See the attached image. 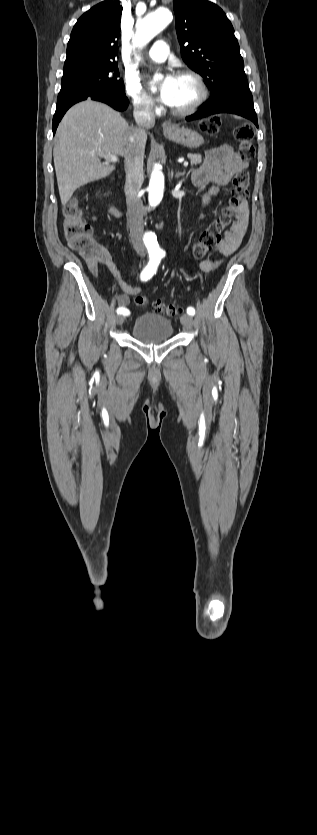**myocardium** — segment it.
Wrapping results in <instances>:
<instances>
[{
    "label": "myocardium",
    "instance_id": "f54148a6",
    "mask_svg": "<svg viewBox=\"0 0 317 835\" xmlns=\"http://www.w3.org/2000/svg\"><path fill=\"white\" fill-rule=\"evenodd\" d=\"M178 77L191 79L196 86L197 95H196V98L193 100V102L189 106H187L185 108H182V109H177V108L170 107V111L175 116H179V117L189 116V115L195 113L201 107V105L205 102V100L207 99V96H208V89H207V86H206L203 78L201 77V75H199L197 72H195L193 70H190V69L181 70L178 73Z\"/></svg>",
    "mask_w": 317,
    "mask_h": 835
}]
</instances>
